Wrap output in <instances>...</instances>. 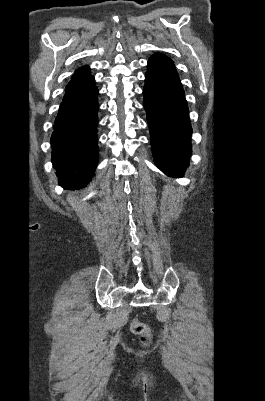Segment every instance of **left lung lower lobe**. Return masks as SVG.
<instances>
[{
    "instance_id": "left-lung-lower-lobe-1",
    "label": "left lung lower lobe",
    "mask_w": 265,
    "mask_h": 401,
    "mask_svg": "<svg viewBox=\"0 0 265 401\" xmlns=\"http://www.w3.org/2000/svg\"><path fill=\"white\" fill-rule=\"evenodd\" d=\"M143 95L155 163L167 175L183 176L192 128L181 82L168 57L149 59Z\"/></svg>"
}]
</instances>
